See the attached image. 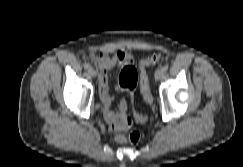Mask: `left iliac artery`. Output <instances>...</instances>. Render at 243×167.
<instances>
[{"label":"left iliac artery","instance_id":"1","mask_svg":"<svg viewBox=\"0 0 243 167\" xmlns=\"http://www.w3.org/2000/svg\"><path fill=\"white\" fill-rule=\"evenodd\" d=\"M162 70H163L164 72H166V71L168 70V65H164V66L162 67Z\"/></svg>","mask_w":243,"mask_h":167}]
</instances>
